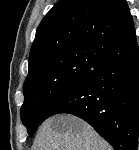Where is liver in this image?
Listing matches in <instances>:
<instances>
[{
  "label": "liver",
  "mask_w": 139,
  "mask_h": 150,
  "mask_svg": "<svg viewBox=\"0 0 139 150\" xmlns=\"http://www.w3.org/2000/svg\"><path fill=\"white\" fill-rule=\"evenodd\" d=\"M35 150H112L86 122L71 116L49 118L36 136Z\"/></svg>",
  "instance_id": "liver-1"
}]
</instances>
